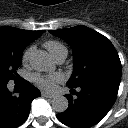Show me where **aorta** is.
Segmentation results:
<instances>
[{
	"label": "aorta",
	"instance_id": "762f6f07",
	"mask_svg": "<svg viewBox=\"0 0 128 128\" xmlns=\"http://www.w3.org/2000/svg\"><path fill=\"white\" fill-rule=\"evenodd\" d=\"M32 67L40 72H53L56 68L55 62L45 51H37L31 59ZM68 100L65 96L57 95L52 100V108L56 112H65L68 108Z\"/></svg>",
	"mask_w": 128,
	"mask_h": 128
}]
</instances>
